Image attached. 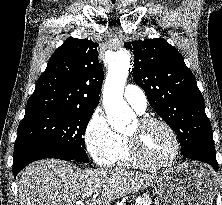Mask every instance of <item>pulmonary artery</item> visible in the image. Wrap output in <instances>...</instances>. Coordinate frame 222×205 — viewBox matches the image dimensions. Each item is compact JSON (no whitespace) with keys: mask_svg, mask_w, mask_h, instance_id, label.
Listing matches in <instances>:
<instances>
[{"mask_svg":"<svg viewBox=\"0 0 222 205\" xmlns=\"http://www.w3.org/2000/svg\"><path fill=\"white\" fill-rule=\"evenodd\" d=\"M124 98L137 112L143 113L147 107V98L143 90L136 85H127L124 90Z\"/></svg>","mask_w":222,"mask_h":205,"instance_id":"1","label":"pulmonary artery"}]
</instances>
